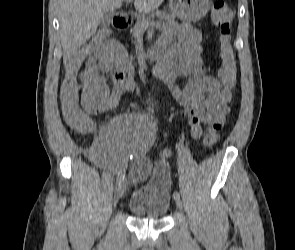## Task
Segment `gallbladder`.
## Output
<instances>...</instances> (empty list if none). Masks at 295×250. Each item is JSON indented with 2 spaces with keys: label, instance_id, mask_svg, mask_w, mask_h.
Instances as JSON below:
<instances>
[{
  "label": "gallbladder",
  "instance_id": "obj_1",
  "mask_svg": "<svg viewBox=\"0 0 295 250\" xmlns=\"http://www.w3.org/2000/svg\"><path fill=\"white\" fill-rule=\"evenodd\" d=\"M113 17V13L108 12L104 15V17L100 20L99 25L103 28H106L110 25Z\"/></svg>",
  "mask_w": 295,
  "mask_h": 250
}]
</instances>
